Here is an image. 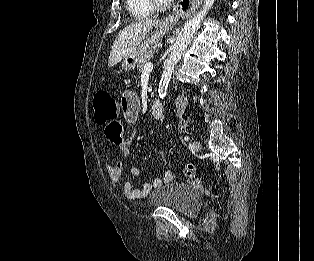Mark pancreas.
<instances>
[{"label":"pancreas","instance_id":"1","mask_svg":"<svg viewBox=\"0 0 314 261\" xmlns=\"http://www.w3.org/2000/svg\"><path fill=\"white\" fill-rule=\"evenodd\" d=\"M144 53L140 57L138 61V69L140 72H143L145 64L153 58L154 52L156 51V46H152L151 48L145 50V46L143 47Z\"/></svg>","mask_w":314,"mask_h":261}]
</instances>
